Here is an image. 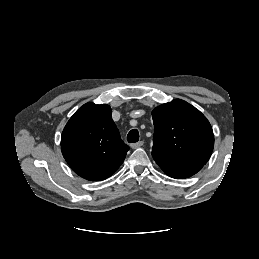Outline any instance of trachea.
Segmentation results:
<instances>
[{"label":"trachea","mask_w":259,"mask_h":259,"mask_svg":"<svg viewBox=\"0 0 259 259\" xmlns=\"http://www.w3.org/2000/svg\"><path fill=\"white\" fill-rule=\"evenodd\" d=\"M139 140V132L137 129H132L127 135V141L129 143H136Z\"/></svg>","instance_id":"obj_1"}]
</instances>
